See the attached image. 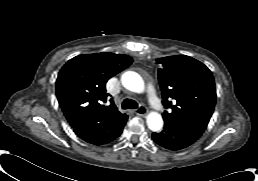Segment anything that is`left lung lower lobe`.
<instances>
[{
	"label": "left lung lower lobe",
	"instance_id": "obj_1",
	"mask_svg": "<svg viewBox=\"0 0 258 181\" xmlns=\"http://www.w3.org/2000/svg\"><path fill=\"white\" fill-rule=\"evenodd\" d=\"M202 133L184 125L165 122L163 131L153 133L152 139L166 149L180 150L194 143Z\"/></svg>",
	"mask_w": 258,
	"mask_h": 181
}]
</instances>
